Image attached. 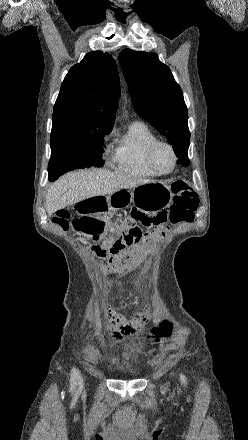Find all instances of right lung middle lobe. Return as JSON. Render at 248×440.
<instances>
[{
  "label": "right lung middle lobe",
  "instance_id": "obj_1",
  "mask_svg": "<svg viewBox=\"0 0 248 440\" xmlns=\"http://www.w3.org/2000/svg\"><path fill=\"white\" fill-rule=\"evenodd\" d=\"M111 130L97 131L87 136L56 146H51L49 181H55L65 172L73 169L101 167L103 141Z\"/></svg>",
  "mask_w": 248,
  "mask_h": 440
}]
</instances>
